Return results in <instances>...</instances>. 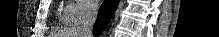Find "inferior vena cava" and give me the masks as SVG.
Returning <instances> with one entry per match:
<instances>
[{"mask_svg": "<svg viewBox=\"0 0 219 37\" xmlns=\"http://www.w3.org/2000/svg\"><path fill=\"white\" fill-rule=\"evenodd\" d=\"M98 6L92 5L87 8L84 23L79 31L82 37H92V29L97 18Z\"/></svg>", "mask_w": 219, "mask_h": 37, "instance_id": "602c4592", "label": "inferior vena cava"}]
</instances>
